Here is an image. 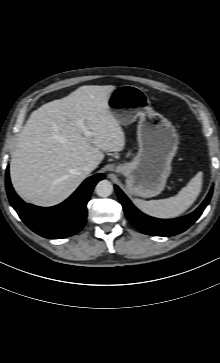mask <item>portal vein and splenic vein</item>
I'll use <instances>...</instances> for the list:
<instances>
[{
    "label": "portal vein and splenic vein",
    "mask_w": 220,
    "mask_h": 363,
    "mask_svg": "<svg viewBox=\"0 0 220 363\" xmlns=\"http://www.w3.org/2000/svg\"><path fill=\"white\" fill-rule=\"evenodd\" d=\"M77 126L83 131L85 136L90 137L93 135V133L90 132L89 129L84 125L83 120L78 119Z\"/></svg>",
    "instance_id": "1"
}]
</instances>
